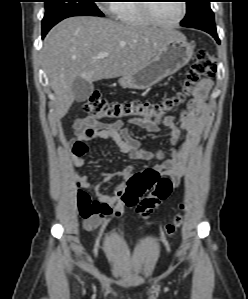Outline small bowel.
<instances>
[{"label": "small bowel", "instance_id": "c3829d8e", "mask_svg": "<svg viewBox=\"0 0 248 299\" xmlns=\"http://www.w3.org/2000/svg\"><path fill=\"white\" fill-rule=\"evenodd\" d=\"M212 87V82L203 79L194 91V98L187 109L180 112L179 122L175 123L171 118H165L162 125L170 131L171 156L165 157L163 152L152 153L138 147L132 138L128 126L146 129L150 133H156L158 125L152 121L143 119H128L111 124H100L93 118H84L74 125L75 138L73 139L71 160L75 167H82L87 153L86 143L95 140L111 141L123 153L128 154L132 160L155 161L162 163L152 168L161 176L170 179L172 186H179L185 173V158L188 153H195L199 141L202 123L205 118L204 98ZM131 169L126 168L114 173L99 172L98 175L105 182L114 179L126 180L130 176ZM78 185L83 189L94 193L96 200H91L93 215L82 217L83 225L87 230H93L101 226L109 217H119L125 210V205L120 199V193L124 184L116 187L112 194L103 192L98 185L89 182L87 175L76 174ZM83 193V192H82Z\"/></svg>", "mask_w": 248, "mask_h": 299}]
</instances>
